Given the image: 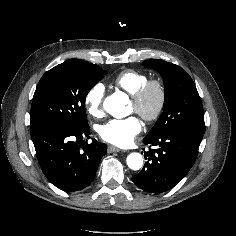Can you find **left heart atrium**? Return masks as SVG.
<instances>
[{"instance_id": "1", "label": "left heart atrium", "mask_w": 236, "mask_h": 236, "mask_svg": "<svg viewBox=\"0 0 236 236\" xmlns=\"http://www.w3.org/2000/svg\"><path fill=\"white\" fill-rule=\"evenodd\" d=\"M141 122L135 117L111 120L99 129L101 138L113 145L126 147L133 143L141 131Z\"/></svg>"}]
</instances>
